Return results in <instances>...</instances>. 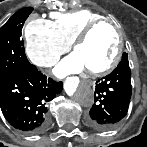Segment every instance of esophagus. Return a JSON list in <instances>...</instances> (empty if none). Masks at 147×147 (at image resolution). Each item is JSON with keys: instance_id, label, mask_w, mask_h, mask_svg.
<instances>
[{"instance_id": "esophagus-1", "label": "esophagus", "mask_w": 147, "mask_h": 147, "mask_svg": "<svg viewBox=\"0 0 147 147\" xmlns=\"http://www.w3.org/2000/svg\"><path fill=\"white\" fill-rule=\"evenodd\" d=\"M89 84H90L91 86H93V85H94V83H93L92 81H89Z\"/></svg>"}]
</instances>
